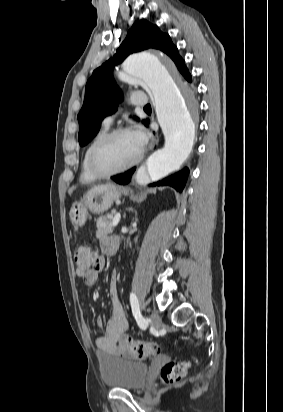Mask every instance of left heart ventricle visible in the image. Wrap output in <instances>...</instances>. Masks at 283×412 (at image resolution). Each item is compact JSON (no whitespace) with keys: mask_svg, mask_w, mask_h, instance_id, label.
I'll list each match as a JSON object with an SVG mask.
<instances>
[{"mask_svg":"<svg viewBox=\"0 0 283 412\" xmlns=\"http://www.w3.org/2000/svg\"><path fill=\"white\" fill-rule=\"evenodd\" d=\"M140 150L132 132L120 134L102 149L97 164L104 171L117 169L133 161Z\"/></svg>","mask_w":283,"mask_h":412,"instance_id":"b2bd125f","label":"left heart ventricle"}]
</instances>
